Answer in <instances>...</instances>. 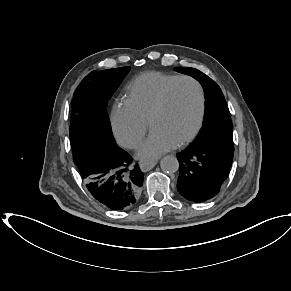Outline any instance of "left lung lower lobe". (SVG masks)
<instances>
[{"label": "left lung lower lobe", "mask_w": 291, "mask_h": 291, "mask_svg": "<svg viewBox=\"0 0 291 291\" xmlns=\"http://www.w3.org/2000/svg\"><path fill=\"white\" fill-rule=\"evenodd\" d=\"M233 154L234 151L214 146H187L177 154L178 192L195 203L215 197L229 175Z\"/></svg>", "instance_id": "left-lung-lower-lobe-1"}]
</instances>
